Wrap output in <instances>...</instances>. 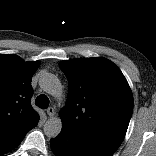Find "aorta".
Wrapping results in <instances>:
<instances>
[{
  "instance_id": "obj_1",
  "label": "aorta",
  "mask_w": 156,
  "mask_h": 156,
  "mask_svg": "<svg viewBox=\"0 0 156 156\" xmlns=\"http://www.w3.org/2000/svg\"><path fill=\"white\" fill-rule=\"evenodd\" d=\"M39 86L46 93L59 97L62 94V87L58 78L51 74L45 73L39 79ZM62 129V120L60 117H52L48 119L43 127L44 133L48 138H55Z\"/></svg>"
}]
</instances>
